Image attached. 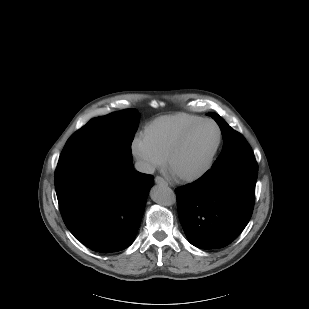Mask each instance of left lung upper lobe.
<instances>
[{
    "mask_svg": "<svg viewBox=\"0 0 309 309\" xmlns=\"http://www.w3.org/2000/svg\"><path fill=\"white\" fill-rule=\"evenodd\" d=\"M219 125L223 136V149L213 167L237 155L252 152L244 137L233 130L218 114L208 113Z\"/></svg>",
    "mask_w": 309,
    "mask_h": 309,
    "instance_id": "5c2ea615",
    "label": "left lung upper lobe"
}]
</instances>
